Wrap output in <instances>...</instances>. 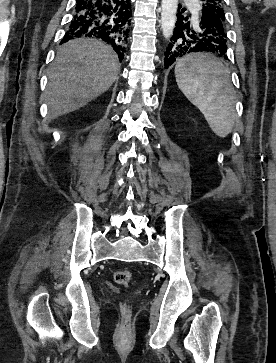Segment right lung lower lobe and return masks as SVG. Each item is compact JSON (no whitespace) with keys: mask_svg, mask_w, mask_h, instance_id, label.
<instances>
[{"mask_svg":"<svg viewBox=\"0 0 276 363\" xmlns=\"http://www.w3.org/2000/svg\"><path fill=\"white\" fill-rule=\"evenodd\" d=\"M131 17L130 0H77L61 43L77 37L102 39L121 60L130 35Z\"/></svg>","mask_w":276,"mask_h":363,"instance_id":"1","label":"right lung lower lobe"}]
</instances>
